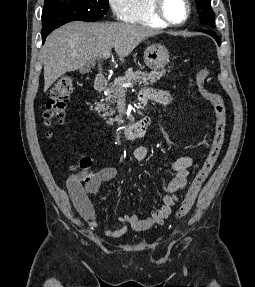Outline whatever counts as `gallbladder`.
<instances>
[{
    "label": "gallbladder",
    "instance_id": "obj_1",
    "mask_svg": "<svg viewBox=\"0 0 255 287\" xmlns=\"http://www.w3.org/2000/svg\"><path fill=\"white\" fill-rule=\"evenodd\" d=\"M86 70H89V68H80V74H87Z\"/></svg>",
    "mask_w": 255,
    "mask_h": 287
}]
</instances>
